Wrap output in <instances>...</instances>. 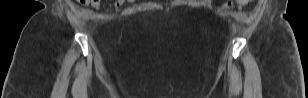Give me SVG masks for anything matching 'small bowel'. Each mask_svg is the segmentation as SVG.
<instances>
[{"label": "small bowel", "instance_id": "small-bowel-1", "mask_svg": "<svg viewBox=\"0 0 308 98\" xmlns=\"http://www.w3.org/2000/svg\"><path fill=\"white\" fill-rule=\"evenodd\" d=\"M122 2H123V0H118V1H116V5L119 6V5L122 4ZM84 4H90L93 7V9L96 10V11H99L100 5H101L100 0H88Z\"/></svg>", "mask_w": 308, "mask_h": 98}]
</instances>
